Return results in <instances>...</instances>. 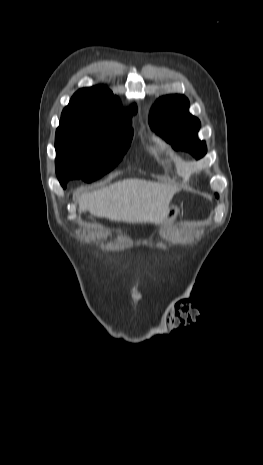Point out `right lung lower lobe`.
<instances>
[{
	"label": "right lung lower lobe",
	"instance_id": "98d812e1",
	"mask_svg": "<svg viewBox=\"0 0 263 465\" xmlns=\"http://www.w3.org/2000/svg\"><path fill=\"white\" fill-rule=\"evenodd\" d=\"M59 181H60L61 185L65 188L66 184H67V181L61 180V179H59Z\"/></svg>",
	"mask_w": 263,
	"mask_h": 465
}]
</instances>
